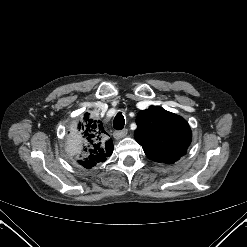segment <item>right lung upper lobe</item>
<instances>
[{
	"instance_id": "cb5924a9",
	"label": "right lung upper lobe",
	"mask_w": 247,
	"mask_h": 247,
	"mask_svg": "<svg viewBox=\"0 0 247 247\" xmlns=\"http://www.w3.org/2000/svg\"><path fill=\"white\" fill-rule=\"evenodd\" d=\"M79 137L74 144V158L78 164L91 169L104 162L113 152L112 140L107 138L103 123L86 113L78 125Z\"/></svg>"
}]
</instances>
